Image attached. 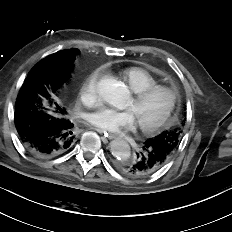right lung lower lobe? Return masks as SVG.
<instances>
[{
    "label": "right lung lower lobe",
    "instance_id": "obj_1",
    "mask_svg": "<svg viewBox=\"0 0 232 232\" xmlns=\"http://www.w3.org/2000/svg\"><path fill=\"white\" fill-rule=\"evenodd\" d=\"M31 90H29L30 92ZM15 110L14 120L23 146L37 157H54L68 151L73 144V124L66 116L55 120L41 118L39 101L24 98Z\"/></svg>",
    "mask_w": 232,
    "mask_h": 232
}]
</instances>
